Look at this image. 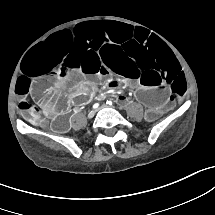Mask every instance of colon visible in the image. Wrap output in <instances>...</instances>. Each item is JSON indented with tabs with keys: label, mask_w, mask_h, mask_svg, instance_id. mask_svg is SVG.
Listing matches in <instances>:
<instances>
[{
	"label": "colon",
	"mask_w": 215,
	"mask_h": 215,
	"mask_svg": "<svg viewBox=\"0 0 215 215\" xmlns=\"http://www.w3.org/2000/svg\"><path fill=\"white\" fill-rule=\"evenodd\" d=\"M57 100V95L52 92H47L42 100L40 101V105L51 118H55L57 114V110L55 108V103ZM19 110L23 113V115L28 118L30 121L37 120V106L36 104L21 101L18 104Z\"/></svg>",
	"instance_id": "5ec220e1"
}]
</instances>
